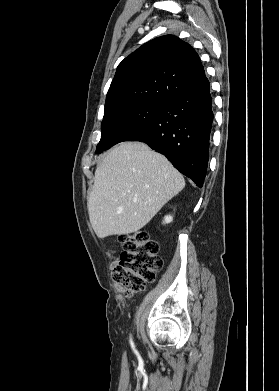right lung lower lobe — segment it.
<instances>
[{"mask_svg": "<svg viewBox=\"0 0 279 391\" xmlns=\"http://www.w3.org/2000/svg\"><path fill=\"white\" fill-rule=\"evenodd\" d=\"M213 117L210 84L205 77L166 101L150 123L134 131L124 141L146 143L202 187L209 159Z\"/></svg>", "mask_w": 279, "mask_h": 391, "instance_id": "1", "label": "right lung lower lobe"}]
</instances>
